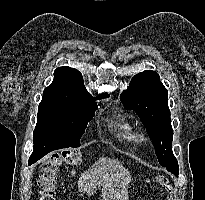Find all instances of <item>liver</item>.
<instances>
[{
    "label": "liver",
    "mask_w": 205,
    "mask_h": 200,
    "mask_svg": "<svg viewBox=\"0 0 205 200\" xmlns=\"http://www.w3.org/2000/svg\"><path fill=\"white\" fill-rule=\"evenodd\" d=\"M131 180L130 172L118 160L100 157L77 184L79 191L88 195L101 189L102 200H128Z\"/></svg>",
    "instance_id": "6515ba94"
}]
</instances>
